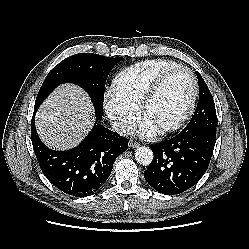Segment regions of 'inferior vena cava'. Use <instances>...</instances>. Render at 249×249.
Here are the masks:
<instances>
[{"label":"inferior vena cava","instance_id":"obj_1","mask_svg":"<svg viewBox=\"0 0 249 249\" xmlns=\"http://www.w3.org/2000/svg\"><path fill=\"white\" fill-rule=\"evenodd\" d=\"M112 129L120 135L129 136L134 133V127L122 121H112Z\"/></svg>","mask_w":249,"mask_h":249}]
</instances>
